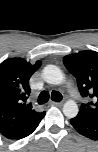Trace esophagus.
Segmentation results:
<instances>
[{
  "label": "esophagus",
  "mask_w": 98,
  "mask_h": 152,
  "mask_svg": "<svg viewBox=\"0 0 98 152\" xmlns=\"http://www.w3.org/2000/svg\"><path fill=\"white\" fill-rule=\"evenodd\" d=\"M49 104L52 105V106H62L63 103L62 102L50 101Z\"/></svg>",
  "instance_id": "esophagus-1"
}]
</instances>
